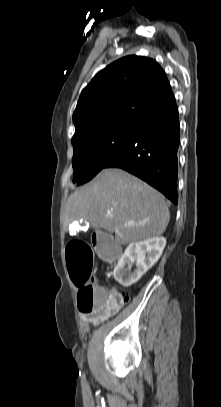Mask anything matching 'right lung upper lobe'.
<instances>
[{
    "instance_id": "right-lung-upper-lobe-1",
    "label": "right lung upper lobe",
    "mask_w": 221,
    "mask_h": 407,
    "mask_svg": "<svg viewBox=\"0 0 221 407\" xmlns=\"http://www.w3.org/2000/svg\"><path fill=\"white\" fill-rule=\"evenodd\" d=\"M173 96L165 72L155 60L121 58L98 72L81 92L73 113L76 131L72 143L112 125L137 124Z\"/></svg>"
}]
</instances>
